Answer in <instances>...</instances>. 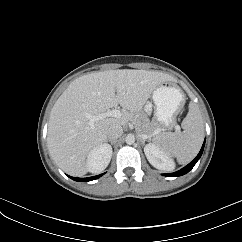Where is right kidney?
I'll return each instance as SVG.
<instances>
[{"mask_svg": "<svg viewBox=\"0 0 242 242\" xmlns=\"http://www.w3.org/2000/svg\"><path fill=\"white\" fill-rule=\"evenodd\" d=\"M112 152V147L107 143L93 148L87 156L88 171L91 173L103 171L111 160Z\"/></svg>", "mask_w": 242, "mask_h": 242, "instance_id": "ca27d5eb", "label": "right kidney"}]
</instances>
